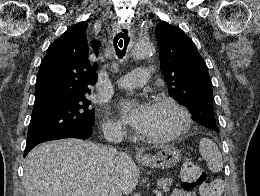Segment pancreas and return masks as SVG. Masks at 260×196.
Here are the masks:
<instances>
[{"label":"pancreas","mask_w":260,"mask_h":196,"mask_svg":"<svg viewBox=\"0 0 260 196\" xmlns=\"http://www.w3.org/2000/svg\"><path fill=\"white\" fill-rule=\"evenodd\" d=\"M172 178H162V180H157L158 186L162 188L163 192H169L170 186H172Z\"/></svg>","instance_id":"cf45deb5"}]
</instances>
